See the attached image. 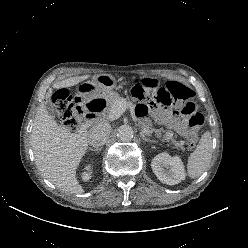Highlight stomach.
I'll return each mask as SVG.
<instances>
[{"label":"stomach","instance_id":"obj_1","mask_svg":"<svg viewBox=\"0 0 248 248\" xmlns=\"http://www.w3.org/2000/svg\"><path fill=\"white\" fill-rule=\"evenodd\" d=\"M154 87L158 86L155 79H145ZM115 80L111 75H97L91 81L81 83L77 89L82 107L88 111L104 115L112 107V101L107 93Z\"/></svg>","mask_w":248,"mask_h":248}]
</instances>
